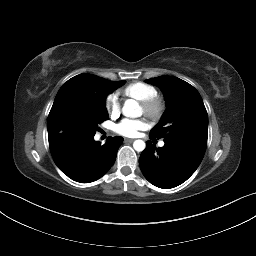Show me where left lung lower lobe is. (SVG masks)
Returning <instances> with one entry per match:
<instances>
[{"mask_svg": "<svg viewBox=\"0 0 256 256\" xmlns=\"http://www.w3.org/2000/svg\"><path fill=\"white\" fill-rule=\"evenodd\" d=\"M204 154L173 143L156 148L151 141L139 158L140 169L153 185L170 189L185 182L198 168Z\"/></svg>", "mask_w": 256, "mask_h": 256, "instance_id": "0a47b994", "label": "left lung lower lobe"}]
</instances>
